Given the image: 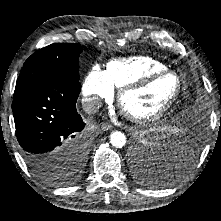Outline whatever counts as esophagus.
Segmentation results:
<instances>
[{"label": "esophagus", "instance_id": "34e87169", "mask_svg": "<svg viewBox=\"0 0 221 221\" xmlns=\"http://www.w3.org/2000/svg\"><path fill=\"white\" fill-rule=\"evenodd\" d=\"M113 126L109 123H102L101 125V129L103 131H109V130H112Z\"/></svg>", "mask_w": 221, "mask_h": 221}]
</instances>
